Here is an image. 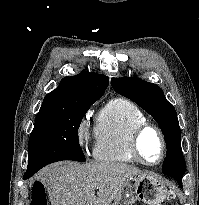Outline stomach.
Returning <instances> with one entry per match:
<instances>
[{
	"label": "stomach",
	"instance_id": "obj_1",
	"mask_svg": "<svg viewBox=\"0 0 199 205\" xmlns=\"http://www.w3.org/2000/svg\"><path fill=\"white\" fill-rule=\"evenodd\" d=\"M168 193L157 178L142 174L125 181L113 205H133L138 200L147 205H161Z\"/></svg>",
	"mask_w": 199,
	"mask_h": 205
}]
</instances>
